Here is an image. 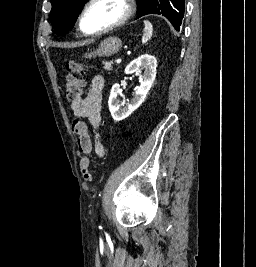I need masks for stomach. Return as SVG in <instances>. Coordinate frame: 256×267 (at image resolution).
<instances>
[{"label": "stomach", "mask_w": 256, "mask_h": 267, "mask_svg": "<svg viewBox=\"0 0 256 267\" xmlns=\"http://www.w3.org/2000/svg\"><path fill=\"white\" fill-rule=\"evenodd\" d=\"M122 46L120 38H115V36H110V38H105L99 48L95 52H90L85 58H96V56H112V54H117Z\"/></svg>", "instance_id": "1"}]
</instances>
